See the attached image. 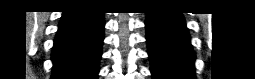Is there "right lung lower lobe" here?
Instances as JSON below:
<instances>
[{
  "mask_svg": "<svg viewBox=\"0 0 255 79\" xmlns=\"http://www.w3.org/2000/svg\"><path fill=\"white\" fill-rule=\"evenodd\" d=\"M104 26L102 12H63L52 51L51 79H97Z\"/></svg>",
  "mask_w": 255,
  "mask_h": 79,
  "instance_id": "right-lung-lower-lobe-1",
  "label": "right lung lower lobe"
}]
</instances>
